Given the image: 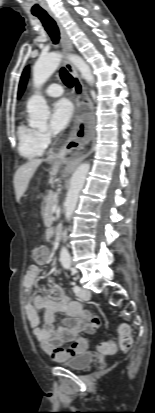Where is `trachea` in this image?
<instances>
[{
	"instance_id": "3493384b",
	"label": "trachea",
	"mask_w": 155,
	"mask_h": 413,
	"mask_svg": "<svg viewBox=\"0 0 155 413\" xmlns=\"http://www.w3.org/2000/svg\"><path fill=\"white\" fill-rule=\"evenodd\" d=\"M34 16L40 19L43 26L45 27V30L50 35L53 43L57 44L60 38V33H59L58 26L56 25V22L53 20V18L46 12L37 13V14H34ZM60 77L66 86L73 87L74 79L64 67H62L60 70Z\"/></svg>"
}]
</instances>
